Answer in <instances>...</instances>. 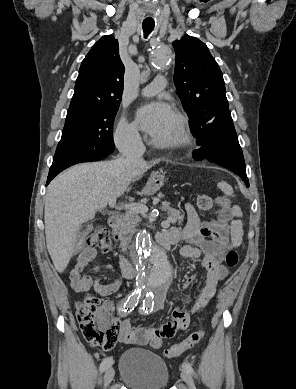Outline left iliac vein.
I'll return each mask as SVG.
<instances>
[{"label":"left iliac vein","mask_w":296,"mask_h":389,"mask_svg":"<svg viewBox=\"0 0 296 389\" xmlns=\"http://www.w3.org/2000/svg\"><path fill=\"white\" fill-rule=\"evenodd\" d=\"M183 381L187 384L189 389H196L191 373L183 369L181 373Z\"/></svg>","instance_id":"obj_1"}]
</instances>
